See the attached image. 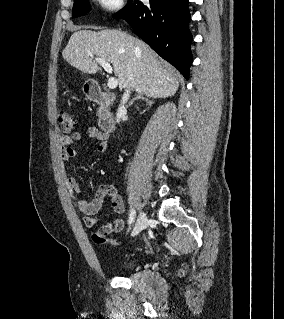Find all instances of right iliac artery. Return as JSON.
<instances>
[{
    "label": "right iliac artery",
    "mask_w": 284,
    "mask_h": 319,
    "mask_svg": "<svg viewBox=\"0 0 284 319\" xmlns=\"http://www.w3.org/2000/svg\"><path fill=\"white\" fill-rule=\"evenodd\" d=\"M135 210L133 208L130 209L129 220L128 223L131 224L135 219Z\"/></svg>",
    "instance_id": "obj_1"
}]
</instances>
